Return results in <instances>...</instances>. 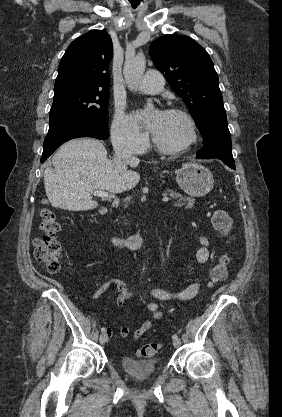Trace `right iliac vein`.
Listing matches in <instances>:
<instances>
[{
	"mask_svg": "<svg viewBox=\"0 0 282 417\" xmlns=\"http://www.w3.org/2000/svg\"><path fill=\"white\" fill-rule=\"evenodd\" d=\"M99 341L101 344H104L107 341V335L105 333H102L99 337Z\"/></svg>",
	"mask_w": 282,
	"mask_h": 417,
	"instance_id": "1",
	"label": "right iliac vein"
}]
</instances>
